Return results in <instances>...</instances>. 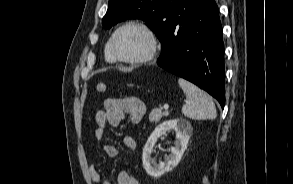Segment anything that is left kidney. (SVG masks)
<instances>
[{
  "instance_id": "obj_1",
  "label": "left kidney",
  "mask_w": 293,
  "mask_h": 184,
  "mask_svg": "<svg viewBox=\"0 0 293 184\" xmlns=\"http://www.w3.org/2000/svg\"><path fill=\"white\" fill-rule=\"evenodd\" d=\"M170 130H175L176 132L175 146L171 148V154L164 162H159L157 165L153 164L151 159L153 147L158 138ZM192 131L191 124L185 119L168 120L156 127L143 148L142 161L147 174L151 177L158 178L176 167L187 148Z\"/></svg>"
}]
</instances>
